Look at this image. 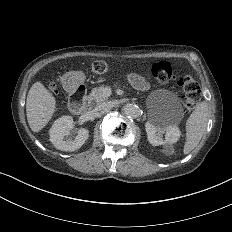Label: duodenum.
<instances>
[{"instance_id": "410a0bca", "label": "duodenum", "mask_w": 232, "mask_h": 232, "mask_svg": "<svg viewBox=\"0 0 232 232\" xmlns=\"http://www.w3.org/2000/svg\"><path fill=\"white\" fill-rule=\"evenodd\" d=\"M69 93V107L72 113L79 115L85 109L86 87L77 79H69L64 83Z\"/></svg>"}]
</instances>
